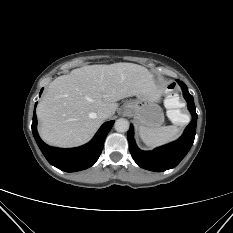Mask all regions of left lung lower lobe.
Returning a JSON list of instances; mask_svg holds the SVG:
<instances>
[{
  "instance_id": "0a47b994",
  "label": "left lung lower lobe",
  "mask_w": 233,
  "mask_h": 233,
  "mask_svg": "<svg viewBox=\"0 0 233 233\" xmlns=\"http://www.w3.org/2000/svg\"><path fill=\"white\" fill-rule=\"evenodd\" d=\"M178 82L182 87L184 98L188 102V108L193 117L190 124L186 127L182 137L173 143L159 147L153 151H142L136 146L134 140V129L132 125L127 133L129 150L132 158L140 167L144 169L162 172L174 168L185 157L193 145L197 123L194 100L193 96L188 92L187 86L184 84V82L179 80Z\"/></svg>"
}]
</instances>
